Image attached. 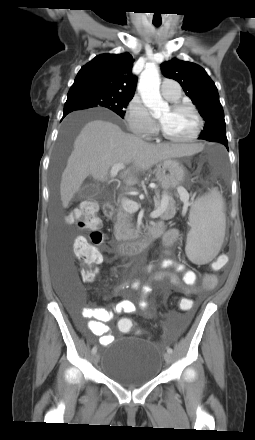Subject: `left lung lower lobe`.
Listing matches in <instances>:
<instances>
[{
  "label": "left lung lower lobe",
  "instance_id": "0a47b994",
  "mask_svg": "<svg viewBox=\"0 0 255 440\" xmlns=\"http://www.w3.org/2000/svg\"><path fill=\"white\" fill-rule=\"evenodd\" d=\"M225 146H226V148L228 149V143L227 144H224Z\"/></svg>",
  "mask_w": 255,
  "mask_h": 440
}]
</instances>
